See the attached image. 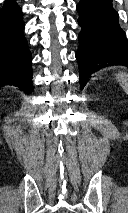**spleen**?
<instances>
[{"label":"spleen","mask_w":128,"mask_h":213,"mask_svg":"<svg viewBox=\"0 0 128 213\" xmlns=\"http://www.w3.org/2000/svg\"><path fill=\"white\" fill-rule=\"evenodd\" d=\"M117 79L123 88V90L126 92L128 95V74L120 72L117 74Z\"/></svg>","instance_id":"1"}]
</instances>
